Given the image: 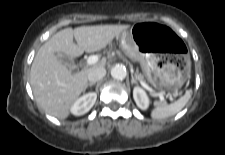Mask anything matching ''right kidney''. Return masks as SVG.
Wrapping results in <instances>:
<instances>
[{
	"instance_id": "1",
	"label": "right kidney",
	"mask_w": 225,
	"mask_h": 155,
	"mask_svg": "<svg viewBox=\"0 0 225 155\" xmlns=\"http://www.w3.org/2000/svg\"><path fill=\"white\" fill-rule=\"evenodd\" d=\"M96 99L97 94L94 92L83 95L72 105L71 112L76 116L84 115L93 107Z\"/></svg>"
}]
</instances>
